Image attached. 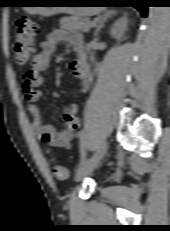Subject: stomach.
<instances>
[{
    "label": "stomach",
    "instance_id": "stomach-1",
    "mask_svg": "<svg viewBox=\"0 0 170 231\" xmlns=\"http://www.w3.org/2000/svg\"><path fill=\"white\" fill-rule=\"evenodd\" d=\"M37 4H69L67 0H41L34 1ZM25 10L31 14H39L41 16H52L58 13H67L80 17H87L98 10L95 7H25Z\"/></svg>",
    "mask_w": 170,
    "mask_h": 231
}]
</instances>
